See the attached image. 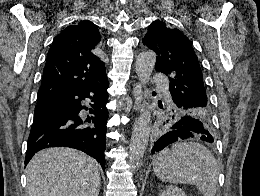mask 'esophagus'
I'll return each mask as SVG.
<instances>
[{
    "label": "esophagus",
    "instance_id": "34e87169",
    "mask_svg": "<svg viewBox=\"0 0 260 196\" xmlns=\"http://www.w3.org/2000/svg\"><path fill=\"white\" fill-rule=\"evenodd\" d=\"M133 95L135 98V103H134V110L138 112L141 108V100H142V86L141 84H135L133 88Z\"/></svg>",
    "mask_w": 260,
    "mask_h": 196
}]
</instances>
